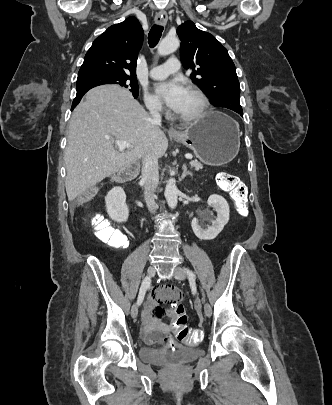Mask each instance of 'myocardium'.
<instances>
[{"mask_svg": "<svg viewBox=\"0 0 332 405\" xmlns=\"http://www.w3.org/2000/svg\"><path fill=\"white\" fill-rule=\"evenodd\" d=\"M186 90L193 93L199 99L200 106L193 115L180 116V115L176 114V117L183 122H195V121L200 120L205 115V113L209 107V101H208L206 94L199 87H197L195 85H187Z\"/></svg>", "mask_w": 332, "mask_h": 405, "instance_id": "myocardium-1", "label": "myocardium"}]
</instances>
